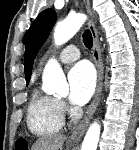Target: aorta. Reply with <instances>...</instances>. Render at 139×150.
Wrapping results in <instances>:
<instances>
[{"mask_svg":"<svg viewBox=\"0 0 139 150\" xmlns=\"http://www.w3.org/2000/svg\"><path fill=\"white\" fill-rule=\"evenodd\" d=\"M87 16L82 13L69 15L63 21L57 23L54 30V42L59 46L70 40L82 27ZM43 90L46 93H56L58 95H67L69 87L64 73L56 60H50L45 66L43 72ZM101 127L97 121H94L82 142L81 150H97Z\"/></svg>","mask_w":139,"mask_h":150,"instance_id":"762f6f07","label":"aorta"}]
</instances>
